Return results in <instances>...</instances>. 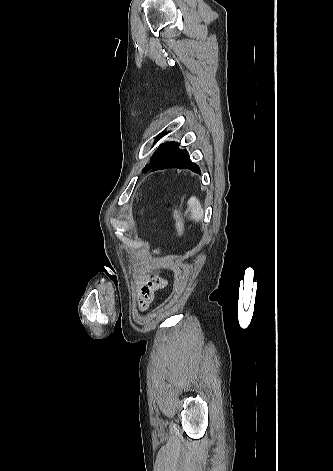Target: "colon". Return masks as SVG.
<instances>
[{
  "label": "colon",
  "instance_id": "1",
  "mask_svg": "<svg viewBox=\"0 0 333 471\" xmlns=\"http://www.w3.org/2000/svg\"><path fill=\"white\" fill-rule=\"evenodd\" d=\"M171 213H172V218H173L174 225H175V231H176V234H177V238L180 239L183 235V232H184V220H183L182 213L176 207L172 208Z\"/></svg>",
  "mask_w": 333,
  "mask_h": 471
}]
</instances>
